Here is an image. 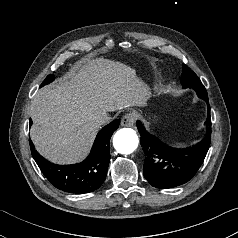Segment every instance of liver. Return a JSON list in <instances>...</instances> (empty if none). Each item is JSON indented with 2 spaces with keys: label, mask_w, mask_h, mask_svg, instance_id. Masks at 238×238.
<instances>
[{
  "label": "liver",
  "mask_w": 238,
  "mask_h": 238,
  "mask_svg": "<svg viewBox=\"0 0 238 238\" xmlns=\"http://www.w3.org/2000/svg\"><path fill=\"white\" fill-rule=\"evenodd\" d=\"M144 94L145 87L130 66L103 58L88 61L36 93L30 106L31 139L53 163L79 162L99 130L97 117L140 106Z\"/></svg>",
  "instance_id": "obj_1"
}]
</instances>
